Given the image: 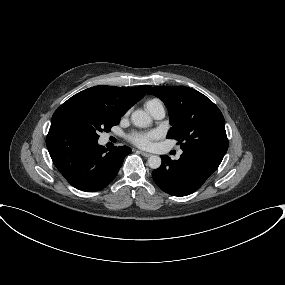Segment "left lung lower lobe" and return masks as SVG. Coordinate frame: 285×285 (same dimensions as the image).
Segmentation results:
<instances>
[{"label": "left lung lower lobe", "instance_id": "0a47b994", "mask_svg": "<svg viewBox=\"0 0 285 285\" xmlns=\"http://www.w3.org/2000/svg\"><path fill=\"white\" fill-rule=\"evenodd\" d=\"M223 157L217 152L197 149L183 150L179 160L161 155L162 164L152 172V177L170 195H190L215 172Z\"/></svg>", "mask_w": 285, "mask_h": 285}]
</instances>
